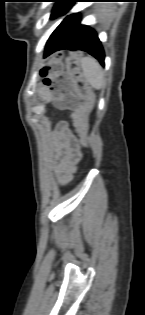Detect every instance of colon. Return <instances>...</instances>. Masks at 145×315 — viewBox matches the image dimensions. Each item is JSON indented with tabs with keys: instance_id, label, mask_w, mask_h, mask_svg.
Instances as JSON below:
<instances>
[{
	"instance_id": "colon-1",
	"label": "colon",
	"mask_w": 145,
	"mask_h": 315,
	"mask_svg": "<svg viewBox=\"0 0 145 315\" xmlns=\"http://www.w3.org/2000/svg\"><path fill=\"white\" fill-rule=\"evenodd\" d=\"M60 58V54L50 58L41 67L40 73L45 85L53 90L56 105L61 109L74 111V125L86 145L88 114L91 110L93 95L82 77L79 55H72L67 60L66 72L63 70Z\"/></svg>"
}]
</instances>
